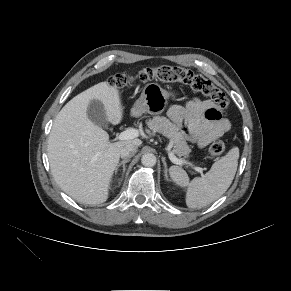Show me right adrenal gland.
<instances>
[{
    "mask_svg": "<svg viewBox=\"0 0 291 291\" xmlns=\"http://www.w3.org/2000/svg\"><path fill=\"white\" fill-rule=\"evenodd\" d=\"M130 161V159H124L122 162H120L118 165H117V167L115 168V175L117 174V172H118V170H119V168L122 166L123 167V173H122V178H121V180L120 181H122L123 180V177H124V173H125V170H126V166H125V164L127 163V162H129ZM120 184V183H119Z\"/></svg>",
    "mask_w": 291,
    "mask_h": 291,
    "instance_id": "1",
    "label": "right adrenal gland"
}]
</instances>
